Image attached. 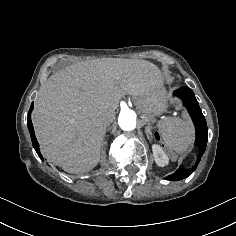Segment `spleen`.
Here are the masks:
<instances>
[{
  "instance_id": "spleen-1",
  "label": "spleen",
  "mask_w": 236,
  "mask_h": 236,
  "mask_svg": "<svg viewBox=\"0 0 236 236\" xmlns=\"http://www.w3.org/2000/svg\"><path fill=\"white\" fill-rule=\"evenodd\" d=\"M160 130L166 144L176 151L187 150L193 142V128L189 123L167 119L160 122Z\"/></svg>"
}]
</instances>
